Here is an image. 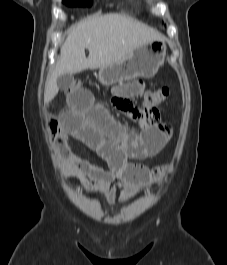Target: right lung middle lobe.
Masks as SVG:
<instances>
[{
    "label": "right lung middle lobe",
    "instance_id": "1",
    "mask_svg": "<svg viewBox=\"0 0 227 265\" xmlns=\"http://www.w3.org/2000/svg\"><path fill=\"white\" fill-rule=\"evenodd\" d=\"M66 4L69 5H87L90 6L92 3V0H64Z\"/></svg>",
    "mask_w": 227,
    "mask_h": 265
}]
</instances>
